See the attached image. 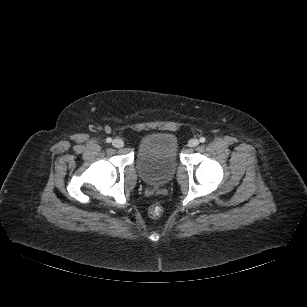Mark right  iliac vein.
Wrapping results in <instances>:
<instances>
[{
	"label": "right iliac vein",
	"instance_id": "63e3f726",
	"mask_svg": "<svg viewBox=\"0 0 307 307\" xmlns=\"http://www.w3.org/2000/svg\"><path fill=\"white\" fill-rule=\"evenodd\" d=\"M113 146L116 148H121L124 146V142L121 139H114L112 142Z\"/></svg>",
	"mask_w": 307,
	"mask_h": 307
}]
</instances>
